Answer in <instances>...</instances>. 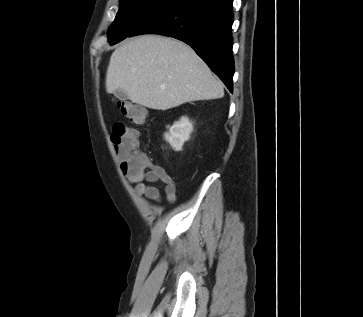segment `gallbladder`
Segmentation results:
<instances>
[{"mask_svg":"<svg viewBox=\"0 0 363 317\" xmlns=\"http://www.w3.org/2000/svg\"><path fill=\"white\" fill-rule=\"evenodd\" d=\"M114 95L117 97V98H119V99H125L127 96H126V94L125 93H123L122 91H120V90H116L115 92H114Z\"/></svg>","mask_w":363,"mask_h":317,"instance_id":"obj_1","label":"gallbladder"}]
</instances>
